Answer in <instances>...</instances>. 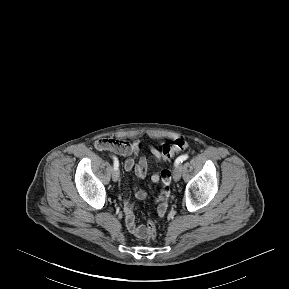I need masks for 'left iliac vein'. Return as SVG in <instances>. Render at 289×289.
Instances as JSON below:
<instances>
[{"mask_svg": "<svg viewBox=\"0 0 289 289\" xmlns=\"http://www.w3.org/2000/svg\"><path fill=\"white\" fill-rule=\"evenodd\" d=\"M181 174H182V166L179 165V166H177V167L174 169V171H173V179H174L175 181H179L180 178H181Z\"/></svg>", "mask_w": 289, "mask_h": 289, "instance_id": "4c4485c4", "label": "left iliac vein"}]
</instances>
